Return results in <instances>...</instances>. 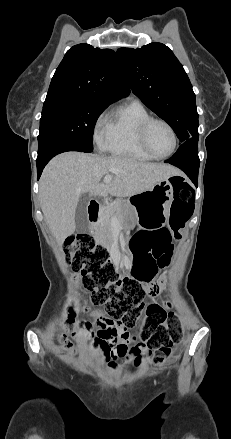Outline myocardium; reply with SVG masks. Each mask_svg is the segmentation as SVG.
Wrapping results in <instances>:
<instances>
[{
  "mask_svg": "<svg viewBox=\"0 0 231 439\" xmlns=\"http://www.w3.org/2000/svg\"><path fill=\"white\" fill-rule=\"evenodd\" d=\"M155 123H161V124L165 125L169 129V131L171 132L172 137H173V146H172L170 152L165 154V155H157L151 149V147L149 145V142H148L149 130H150L151 126L153 124H155ZM139 141H140V144H141L142 148L150 156H152L154 159H159L160 160V159H166V158H168V157H170L171 155L174 154V152L176 151L177 146H178V135H177V132H176L175 128L173 127V125L169 121H167V120H165L163 118L150 117L149 119H147L142 124V126L140 128V131H139Z\"/></svg>",
  "mask_w": 231,
  "mask_h": 439,
  "instance_id": "obj_1",
  "label": "myocardium"
}]
</instances>
